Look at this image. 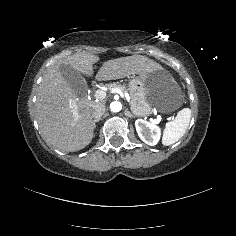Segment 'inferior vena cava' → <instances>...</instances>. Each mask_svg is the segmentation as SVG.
Segmentation results:
<instances>
[{"label":"inferior vena cava","instance_id":"inferior-vena-cava-1","mask_svg":"<svg viewBox=\"0 0 236 236\" xmlns=\"http://www.w3.org/2000/svg\"><path fill=\"white\" fill-rule=\"evenodd\" d=\"M105 112V106L102 103H96L92 107L91 116L94 120L99 119Z\"/></svg>","mask_w":236,"mask_h":236}]
</instances>
